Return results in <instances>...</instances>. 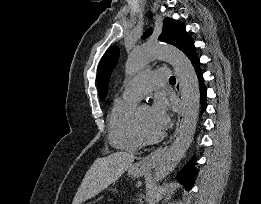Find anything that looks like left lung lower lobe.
I'll return each instance as SVG.
<instances>
[{
    "label": "left lung lower lobe",
    "mask_w": 261,
    "mask_h": 204,
    "mask_svg": "<svg viewBox=\"0 0 261 204\" xmlns=\"http://www.w3.org/2000/svg\"><path fill=\"white\" fill-rule=\"evenodd\" d=\"M187 57L190 59L192 65L194 66L196 73L198 75L199 83H200V94H201V106H202V112L206 108V88L203 81L202 72L200 71L199 67V58L197 57L195 53V46L193 41L191 40L182 50ZM177 178L179 181L184 184L185 188L187 190H190L194 183L195 178V168H194V159H192L187 165L180 171Z\"/></svg>",
    "instance_id": "1"
}]
</instances>
